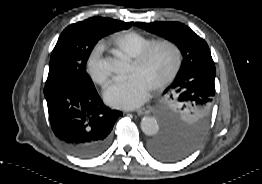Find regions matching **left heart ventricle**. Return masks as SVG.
I'll return each instance as SVG.
<instances>
[{
  "label": "left heart ventricle",
  "mask_w": 262,
  "mask_h": 184,
  "mask_svg": "<svg viewBox=\"0 0 262 184\" xmlns=\"http://www.w3.org/2000/svg\"><path fill=\"white\" fill-rule=\"evenodd\" d=\"M174 62V51L167 46H161L151 54L143 65L138 66L133 62L130 75L139 73L154 86L170 72Z\"/></svg>",
  "instance_id": "b2bd125f"
}]
</instances>
